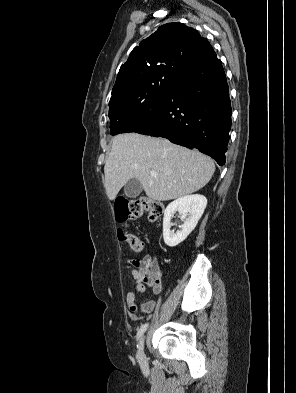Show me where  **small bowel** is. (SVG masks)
Instances as JSON below:
<instances>
[{
	"label": "small bowel",
	"mask_w": 296,
	"mask_h": 393,
	"mask_svg": "<svg viewBox=\"0 0 296 393\" xmlns=\"http://www.w3.org/2000/svg\"><path fill=\"white\" fill-rule=\"evenodd\" d=\"M129 268L136 285L135 289L129 291L126 295L128 315L131 320L139 321L142 320L146 314L153 312L156 302L154 300H149L139 306L136 302V293L145 292L146 286H151L155 294L161 292L162 286L160 282L154 281V277L159 274V264L155 256L147 254L141 259L130 260Z\"/></svg>",
	"instance_id": "c3829d8e"
}]
</instances>
